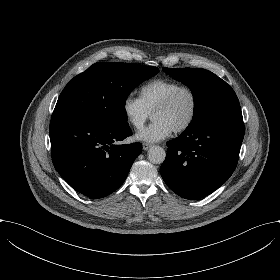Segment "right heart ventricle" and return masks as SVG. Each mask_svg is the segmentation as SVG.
Masks as SVG:
<instances>
[{"label":"right heart ventricle","instance_id":"e07e8e85","mask_svg":"<svg viewBox=\"0 0 280 280\" xmlns=\"http://www.w3.org/2000/svg\"><path fill=\"white\" fill-rule=\"evenodd\" d=\"M181 84L167 78H155L139 89V99L149 113L153 112L156 106L175 91Z\"/></svg>","mask_w":280,"mask_h":280}]
</instances>
